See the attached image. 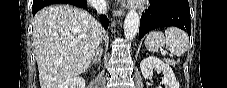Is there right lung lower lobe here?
Returning <instances> with one entry per match:
<instances>
[{"label":"right lung lower lobe","instance_id":"right-lung-lower-lobe-1","mask_svg":"<svg viewBox=\"0 0 227 88\" xmlns=\"http://www.w3.org/2000/svg\"><path fill=\"white\" fill-rule=\"evenodd\" d=\"M54 3H69L79 7L87 5L85 0H34L32 15L34 16L41 8ZM101 23L105 29L108 28L109 20L105 15H101Z\"/></svg>","mask_w":227,"mask_h":88}]
</instances>
